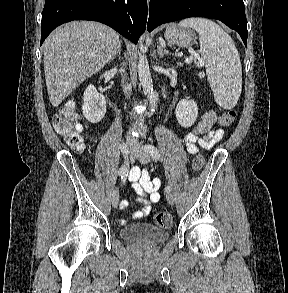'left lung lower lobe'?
<instances>
[{
  "label": "left lung lower lobe",
  "mask_w": 288,
  "mask_h": 293,
  "mask_svg": "<svg viewBox=\"0 0 288 293\" xmlns=\"http://www.w3.org/2000/svg\"><path fill=\"white\" fill-rule=\"evenodd\" d=\"M189 17L218 19L241 36L247 47V20L243 0H150L147 28Z\"/></svg>",
  "instance_id": "0a47b994"
}]
</instances>
